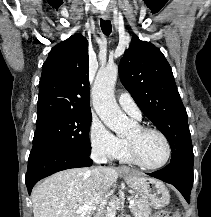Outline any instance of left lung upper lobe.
Masks as SVG:
<instances>
[{
    "instance_id": "1",
    "label": "left lung upper lobe",
    "mask_w": 211,
    "mask_h": 217,
    "mask_svg": "<svg viewBox=\"0 0 211 217\" xmlns=\"http://www.w3.org/2000/svg\"><path fill=\"white\" fill-rule=\"evenodd\" d=\"M119 76L141 111L168 139L171 162L193 163L186 109L162 52L133 36L120 61Z\"/></svg>"
}]
</instances>
